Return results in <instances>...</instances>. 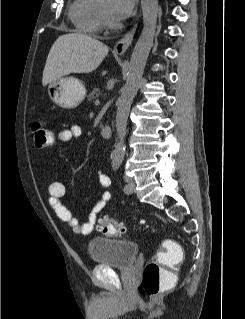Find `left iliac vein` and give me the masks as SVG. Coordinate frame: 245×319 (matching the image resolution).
<instances>
[{"instance_id":"left-iliac-vein-1","label":"left iliac vein","mask_w":245,"mask_h":319,"mask_svg":"<svg viewBox=\"0 0 245 319\" xmlns=\"http://www.w3.org/2000/svg\"><path fill=\"white\" fill-rule=\"evenodd\" d=\"M125 180H126L127 186H128V190L126 191V193H133L135 191L134 180L128 176L125 178Z\"/></svg>"}]
</instances>
